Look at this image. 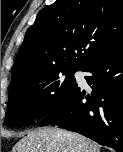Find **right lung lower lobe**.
<instances>
[{
	"label": "right lung lower lobe",
	"mask_w": 123,
	"mask_h": 152,
	"mask_svg": "<svg viewBox=\"0 0 123 152\" xmlns=\"http://www.w3.org/2000/svg\"><path fill=\"white\" fill-rule=\"evenodd\" d=\"M81 71L90 73L85 79L91 95L77 87L40 126L57 124L123 152V41L101 52Z\"/></svg>",
	"instance_id": "1"
}]
</instances>
